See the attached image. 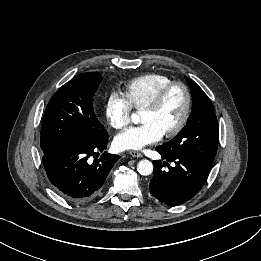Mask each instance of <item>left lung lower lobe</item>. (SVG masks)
<instances>
[{
  "label": "left lung lower lobe",
  "mask_w": 261,
  "mask_h": 261,
  "mask_svg": "<svg viewBox=\"0 0 261 261\" xmlns=\"http://www.w3.org/2000/svg\"><path fill=\"white\" fill-rule=\"evenodd\" d=\"M156 151L168 162L173 161L175 167H169L167 162L156 160L154 177L150 181L151 194L161 203L177 206L193 198L206 182L211 168L192 161L184 154H167L158 147ZM169 171H164L163 166Z\"/></svg>",
  "instance_id": "1"
}]
</instances>
